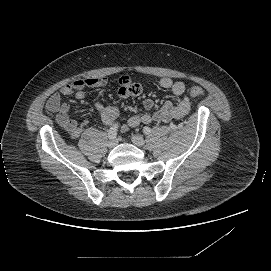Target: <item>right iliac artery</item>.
<instances>
[{
  "mask_svg": "<svg viewBox=\"0 0 271 271\" xmlns=\"http://www.w3.org/2000/svg\"><path fill=\"white\" fill-rule=\"evenodd\" d=\"M117 124L113 125L112 127H110L109 131H108V137L110 139H114L117 136Z\"/></svg>",
  "mask_w": 271,
  "mask_h": 271,
  "instance_id": "82829eb1",
  "label": "right iliac artery"
}]
</instances>
